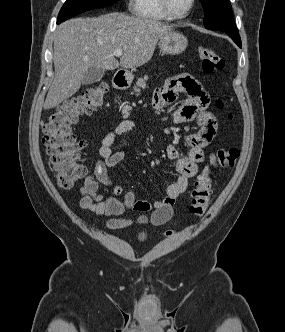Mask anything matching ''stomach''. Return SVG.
Returning a JSON list of instances; mask_svg holds the SVG:
<instances>
[{
    "label": "stomach",
    "mask_w": 285,
    "mask_h": 332,
    "mask_svg": "<svg viewBox=\"0 0 285 332\" xmlns=\"http://www.w3.org/2000/svg\"><path fill=\"white\" fill-rule=\"evenodd\" d=\"M187 38L181 33L171 31L168 35L162 37L159 41V47L165 54L178 55L181 54L187 47ZM132 72H125V81L127 86L133 81Z\"/></svg>",
    "instance_id": "obj_1"
}]
</instances>
